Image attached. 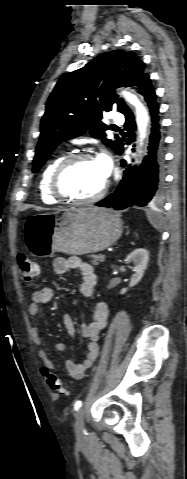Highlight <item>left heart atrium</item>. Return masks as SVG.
Wrapping results in <instances>:
<instances>
[{
  "label": "left heart atrium",
  "instance_id": "1",
  "mask_svg": "<svg viewBox=\"0 0 187 479\" xmlns=\"http://www.w3.org/2000/svg\"><path fill=\"white\" fill-rule=\"evenodd\" d=\"M94 160L102 175L107 179L112 170V161L110 157L105 153H101Z\"/></svg>",
  "mask_w": 187,
  "mask_h": 479
}]
</instances>
